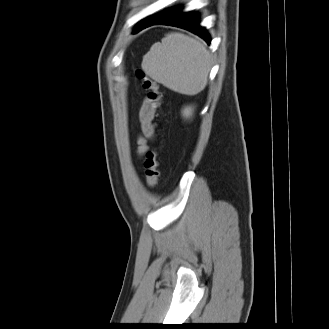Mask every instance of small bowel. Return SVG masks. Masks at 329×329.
<instances>
[{
    "label": "small bowel",
    "mask_w": 329,
    "mask_h": 329,
    "mask_svg": "<svg viewBox=\"0 0 329 329\" xmlns=\"http://www.w3.org/2000/svg\"><path fill=\"white\" fill-rule=\"evenodd\" d=\"M155 115V108L152 103L145 99L139 110V121L141 124V135L137 141V154L143 155L148 147V141L154 135L152 121Z\"/></svg>",
    "instance_id": "small-bowel-1"
}]
</instances>
